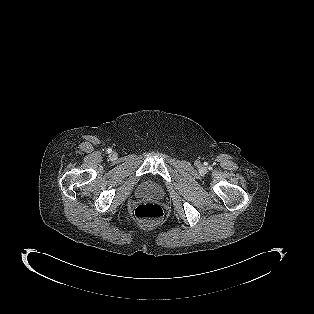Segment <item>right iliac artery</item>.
<instances>
[{
  "instance_id": "obj_1",
  "label": "right iliac artery",
  "mask_w": 314,
  "mask_h": 314,
  "mask_svg": "<svg viewBox=\"0 0 314 314\" xmlns=\"http://www.w3.org/2000/svg\"><path fill=\"white\" fill-rule=\"evenodd\" d=\"M107 152H108V153L112 152V149L108 148V149H107Z\"/></svg>"
}]
</instances>
